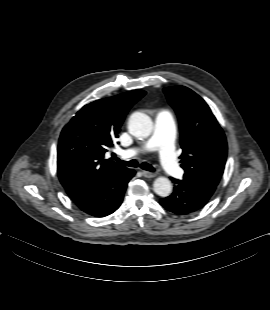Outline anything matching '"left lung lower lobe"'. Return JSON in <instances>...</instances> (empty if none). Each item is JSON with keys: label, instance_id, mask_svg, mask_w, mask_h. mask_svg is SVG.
Instances as JSON below:
<instances>
[{"label": "left lung lower lobe", "instance_id": "0a47b994", "mask_svg": "<svg viewBox=\"0 0 270 310\" xmlns=\"http://www.w3.org/2000/svg\"><path fill=\"white\" fill-rule=\"evenodd\" d=\"M176 184L174 192L167 198H162L160 203L168 211L184 215L201 209L215 192L218 183L198 180L188 176L182 180L171 178Z\"/></svg>", "mask_w": 270, "mask_h": 310}]
</instances>
